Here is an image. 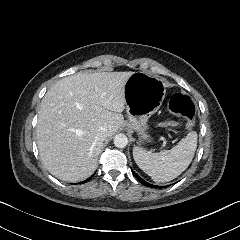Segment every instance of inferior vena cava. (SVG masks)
<instances>
[{
    "instance_id": "1",
    "label": "inferior vena cava",
    "mask_w": 240,
    "mask_h": 240,
    "mask_svg": "<svg viewBox=\"0 0 240 240\" xmlns=\"http://www.w3.org/2000/svg\"><path fill=\"white\" fill-rule=\"evenodd\" d=\"M96 136L99 140L104 141L108 137V130L101 127L97 130Z\"/></svg>"
}]
</instances>
